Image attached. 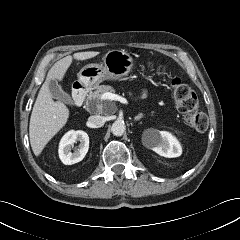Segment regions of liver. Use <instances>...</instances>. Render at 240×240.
<instances>
[{
	"label": "liver",
	"mask_w": 240,
	"mask_h": 240,
	"mask_svg": "<svg viewBox=\"0 0 240 240\" xmlns=\"http://www.w3.org/2000/svg\"><path fill=\"white\" fill-rule=\"evenodd\" d=\"M99 52H78L57 61L48 71L35 101L29 124V138L32 150L39 156L47 143L62 129L68 121L69 110L61 101L55 102L49 92L50 80H62L73 58L86 60L97 56Z\"/></svg>",
	"instance_id": "obj_1"
}]
</instances>
